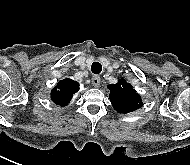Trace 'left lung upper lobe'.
Instances as JSON below:
<instances>
[{"label": "left lung upper lobe", "mask_w": 190, "mask_h": 165, "mask_svg": "<svg viewBox=\"0 0 190 165\" xmlns=\"http://www.w3.org/2000/svg\"><path fill=\"white\" fill-rule=\"evenodd\" d=\"M107 88L110 90L109 98L116 111L129 113L142 106L141 96L124 79H120L116 84L108 85Z\"/></svg>", "instance_id": "left-lung-upper-lobe-1"}]
</instances>
